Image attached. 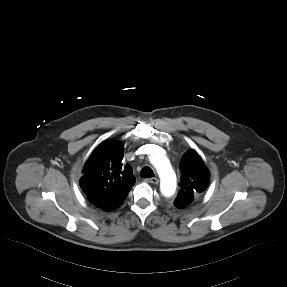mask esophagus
<instances>
[{
    "mask_svg": "<svg viewBox=\"0 0 287 287\" xmlns=\"http://www.w3.org/2000/svg\"><path fill=\"white\" fill-rule=\"evenodd\" d=\"M145 181L148 183H152V184H158V182H159V180L155 177L147 178V179H145Z\"/></svg>",
    "mask_w": 287,
    "mask_h": 287,
    "instance_id": "34e87169",
    "label": "esophagus"
}]
</instances>
